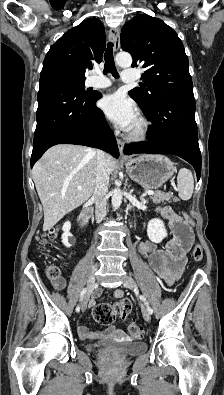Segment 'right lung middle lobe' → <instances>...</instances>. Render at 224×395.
Returning a JSON list of instances; mask_svg holds the SVG:
<instances>
[{"instance_id":"obj_1","label":"right lung middle lobe","mask_w":224,"mask_h":395,"mask_svg":"<svg viewBox=\"0 0 224 395\" xmlns=\"http://www.w3.org/2000/svg\"><path fill=\"white\" fill-rule=\"evenodd\" d=\"M44 78L51 79L60 84L65 85L66 87L75 91L78 95L81 96L90 95L85 91V87H84L85 79L77 78L67 73H64L62 71H56V70L41 74L40 79H44Z\"/></svg>"}]
</instances>
